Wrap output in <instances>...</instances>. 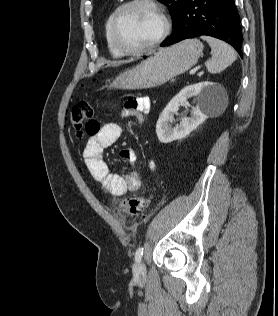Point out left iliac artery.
Segmentation results:
<instances>
[{
  "instance_id": "1",
  "label": "left iliac artery",
  "mask_w": 278,
  "mask_h": 316,
  "mask_svg": "<svg viewBox=\"0 0 278 316\" xmlns=\"http://www.w3.org/2000/svg\"><path fill=\"white\" fill-rule=\"evenodd\" d=\"M143 252H144V248L143 247H139L137 250H136V253H135V260L137 262L141 261V258L143 256Z\"/></svg>"
}]
</instances>
